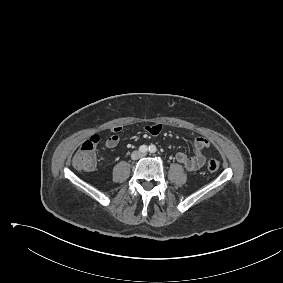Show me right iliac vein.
<instances>
[{
  "label": "right iliac vein",
  "mask_w": 283,
  "mask_h": 283,
  "mask_svg": "<svg viewBox=\"0 0 283 283\" xmlns=\"http://www.w3.org/2000/svg\"><path fill=\"white\" fill-rule=\"evenodd\" d=\"M133 157H134V158H137V157H138V154H137V153H135V154L133 155Z\"/></svg>",
  "instance_id": "right-iliac-vein-1"
}]
</instances>
